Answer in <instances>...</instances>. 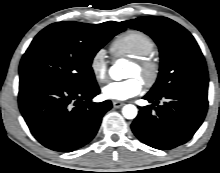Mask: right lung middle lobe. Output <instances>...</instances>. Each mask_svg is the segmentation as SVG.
Masks as SVG:
<instances>
[{"instance_id": "right-lung-middle-lobe-1", "label": "right lung middle lobe", "mask_w": 220, "mask_h": 173, "mask_svg": "<svg viewBox=\"0 0 220 173\" xmlns=\"http://www.w3.org/2000/svg\"><path fill=\"white\" fill-rule=\"evenodd\" d=\"M120 32L112 25L51 24L33 39L23 55L20 79L45 78L75 88L95 84L92 60L98 50Z\"/></svg>"}]
</instances>
